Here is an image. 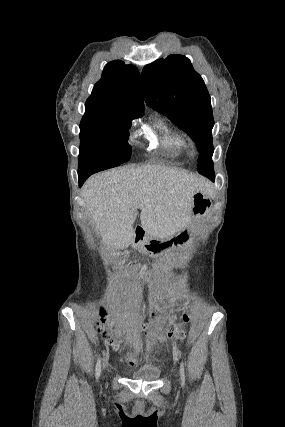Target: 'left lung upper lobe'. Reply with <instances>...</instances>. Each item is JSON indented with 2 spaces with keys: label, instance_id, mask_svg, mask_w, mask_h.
<instances>
[{
  "label": "left lung upper lobe",
  "instance_id": "1",
  "mask_svg": "<svg viewBox=\"0 0 285 427\" xmlns=\"http://www.w3.org/2000/svg\"><path fill=\"white\" fill-rule=\"evenodd\" d=\"M141 77L147 105L187 132L200 153L198 172L213 181L211 100L191 61L183 55H170L145 66Z\"/></svg>",
  "mask_w": 285,
  "mask_h": 427
}]
</instances>
